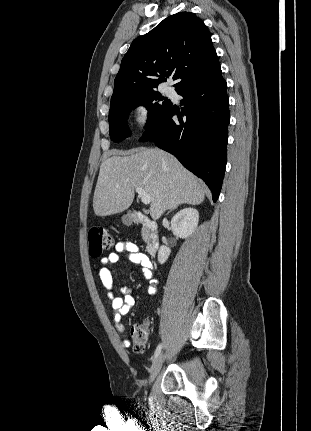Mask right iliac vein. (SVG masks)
<instances>
[{"label": "right iliac vein", "mask_w": 311, "mask_h": 431, "mask_svg": "<svg viewBox=\"0 0 311 431\" xmlns=\"http://www.w3.org/2000/svg\"><path fill=\"white\" fill-rule=\"evenodd\" d=\"M165 357H166L165 354L161 353L155 358V360H154V362L150 368V374H149V382L150 383L156 378L157 374L161 370V367H162V364L165 360Z\"/></svg>", "instance_id": "1"}]
</instances>
